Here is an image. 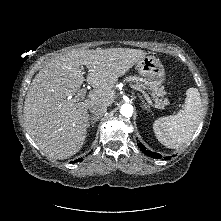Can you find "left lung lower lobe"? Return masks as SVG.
<instances>
[{"label": "left lung lower lobe", "mask_w": 221, "mask_h": 221, "mask_svg": "<svg viewBox=\"0 0 221 221\" xmlns=\"http://www.w3.org/2000/svg\"><path fill=\"white\" fill-rule=\"evenodd\" d=\"M138 147L141 149V151L146 154L147 156H150L152 158H156V159H161L162 156L160 154L151 152L150 150H147L143 144L138 143ZM171 158V156L169 157V159Z\"/></svg>", "instance_id": "obj_1"}]
</instances>
